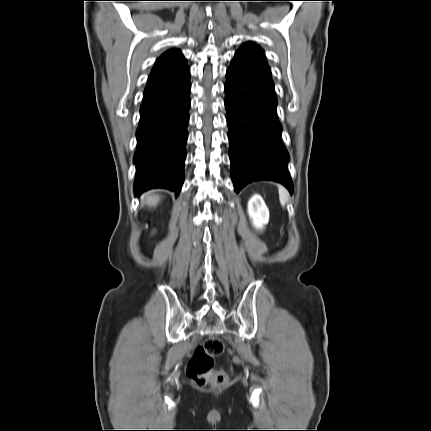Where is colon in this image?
Wrapping results in <instances>:
<instances>
[{"instance_id":"5ec220e1","label":"colon","mask_w":431,"mask_h":431,"mask_svg":"<svg viewBox=\"0 0 431 431\" xmlns=\"http://www.w3.org/2000/svg\"><path fill=\"white\" fill-rule=\"evenodd\" d=\"M224 351V344L217 337H209L198 346L186 367L188 378L197 386L207 384L213 387H221L227 381L224 371L215 369V358Z\"/></svg>"}]
</instances>
